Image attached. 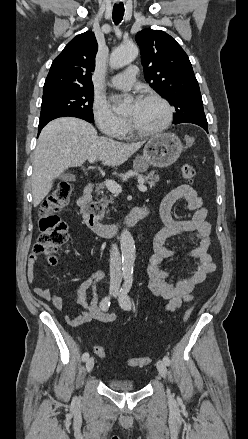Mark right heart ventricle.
<instances>
[{
  "label": "right heart ventricle",
  "instance_id": "obj_1",
  "mask_svg": "<svg viewBox=\"0 0 248 439\" xmlns=\"http://www.w3.org/2000/svg\"><path fill=\"white\" fill-rule=\"evenodd\" d=\"M118 138L122 140H130L133 138V132L127 127Z\"/></svg>",
  "mask_w": 248,
  "mask_h": 439
}]
</instances>
